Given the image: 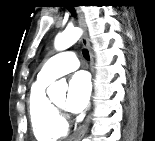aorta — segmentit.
Returning <instances> with one entry per match:
<instances>
[{
	"instance_id": "762f6f07",
	"label": "aorta",
	"mask_w": 155,
	"mask_h": 141,
	"mask_svg": "<svg viewBox=\"0 0 155 141\" xmlns=\"http://www.w3.org/2000/svg\"><path fill=\"white\" fill-rule=\"evenodd\" d=\"M82 35V30L78 27H71L65 29L62 33L58 34L54 41L55 49L58 51L65 50L78 41ZM67 91V84L63 81L53 83L47 90L51 99L64 97ZM83 141H90L85 138Z\"/></svg>"
}]
</instances>
